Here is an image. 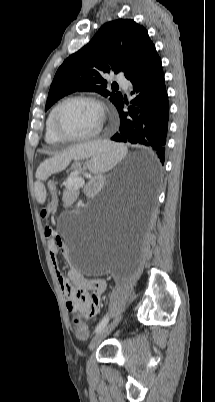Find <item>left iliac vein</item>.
<instances>
[{
    "label": "left iliac vein",
    "instance_id": "obj_1",
    "mask_svg": "<svg viewBox=\"0 0 215 402\" xmlns=\"http://www.w3.org/2000/svg\"><path fill=\"white\" fill-rule=\"evenodd\" d=\"M122 320V316L115 318L110 324L105 326L101 331H99L91 340L89 344V350L93 351L100 343L101 341L107 337L111 331L115 329V327L119 324V322Z\"/></svg>",
    "mask_w": 215,
    "mask_h": 402
}]
</instances>
